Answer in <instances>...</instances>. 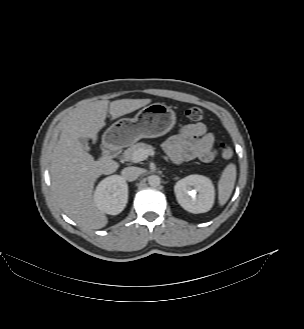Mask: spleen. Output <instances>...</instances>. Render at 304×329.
Segmentation results:
<instances>
[{"label": "spleen", "mask_w": 304, "mask_h": 329, "mask_svg": "<svg viewBox=\"0 0 304 329\" xmlns=\"http://www.w3.org/2000/svg\"><path fill=\"white\" fill-rule=\"evenodd\" d=\"M236 166L233 163L228 164L218 182V200L219 204L224 205L230 198L236 181Z\"/></svg>", "instance_id": "1"}]
</instances>
